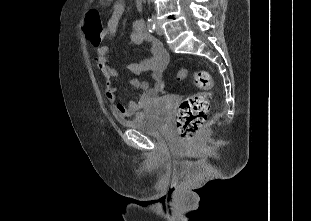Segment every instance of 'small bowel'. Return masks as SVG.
Masks as SVG:
<instances>
[{"label": "small bowel", "mask_w": 311, "mask_h": 221, "mask_svg": "<svg viewBox=\"0 0 311 221\" xmlns=\"http://www.w3.org/2000/svg\"><path fill=\"white\" fill-rule=\"evenodd\" d=\"M125 8L126 5L123 0H117L112 5L111 15L107 21L104 35L107 37L116 35ZM141 21L143 20H136L133 23L131 39L135 44L149 43L151 45L152 57L139 63L129 64L125 67V70L135 75L149 72L153 84L150 85L148 82L137 78L128 80L127 83L129 85L140 90L135 101L128 107L117 100V89L113 84V80L120 78V75L119 71L110 65L109 48L107 46H100L96 51V64L104 80L106 99L113 115L117 119H123L141 111L147 102L156 97L164 87L163 73L170 62V55L163 44L149 34L145 25L141 24Z\"/></svg>", "instance_id": "obj_1"}]
</instances>
